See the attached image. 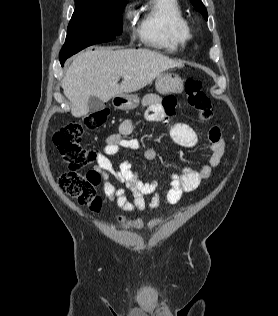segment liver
Wrapping results in <instances>:
<instances>
[{
    "label": "liver",
    "instance_id": "obj_1",
    "mask_svg": "<svg viewBox=\"0 0 278 316\" xmlns=\"http://www.w3.org/2000/svg\"><path fill=\"white\" fill-rule=\"evenodd\" d=\"M182 67L163 54L149 49L111 50L99 47L78 54L62 81L64 95L72 104L74 117L89 112L88 99L95 96L103 102L114 96L138 91L163 71ZM130 76V79H124ZM123 81L118 84V79Z\"/></svg>",
    "mask_w": 278,
    "mask_h": 316
}]
</instances>
